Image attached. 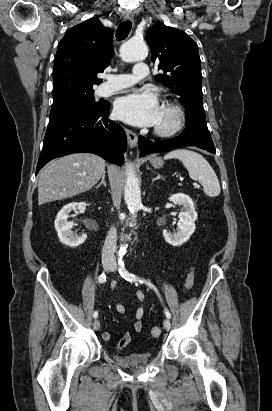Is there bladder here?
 I'll use <instances>...</instances> for the list:
<instances>
[{
  "label": "bladder",
  "mask_w": 272,
  "mask_h": 411,
  "mask_svg": "<svg viewBox=\"0 0 272 411\" xmlns=\"http://www.w3.org/2000/svg\"><path fill=\"white\" fill-rule=\"evenodd\" d=\"M153 357L152 353H135L129 355H114V361L128 369H134L147 365Z\"/></svg>",
  "instance_id": "31cf9c89"
}]
</instances>
